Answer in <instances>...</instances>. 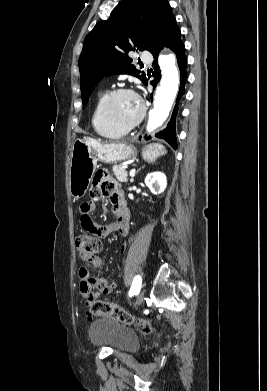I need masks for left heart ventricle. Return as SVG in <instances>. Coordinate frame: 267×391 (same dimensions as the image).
Instances as JSON below:
<instances>
[{
    "mask_svg": "<svg viewBox=\"0 0 267 391\" xmlns=\"http://www.w3.org/2000/svg\"><path fill=\"white\" fill-rule=\"evenodd\" d=\"M112 112L117 121L129 124L139 115L140 104L135 96L128 93L121 94L113 101Z\"/></svg>",
    "mask_w": 267,
    "mask_h": 391,
    "instance_id": "obj_1",
    "label": "left heart ventricle"
}]
</instances>
